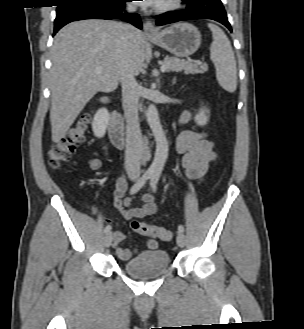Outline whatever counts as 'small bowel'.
<instances>
[{"instance_id": "c3829d8e", "label": "small bowel", "mask_w": 304, "mask_h": 329, "mask_svg": "<svg viewBox=\"0 0 304 329\" xmlns=\"http://www.w3.org/2000/svg\"><path fill=\"white\" fill-rule=\"evenodd\" d=\"M191 119V113L185 111L181 116V122L187 123ZM176 151L181 157L180 166L190 179L201 180L208 171L209 164L216 159L214 151V142L207 138L202 132L186 130L182 132L175 145ZM89 166L92 170H97L101 166V160L94 156L89 160ZM116 201L114 203L117 212L126 220L132 218H143L156 212L155 197L153 195H144L139 197L141 205L131 207V198L122 199V195L126 190V178L121 176L116 183ZM113 248L117 255L128 260L137 254V249L125 248L122 246L126 236L121 232L114 233ZM149 249L158 247V242L149 239L146 242Z\"/></svg>"}]
</instances>
